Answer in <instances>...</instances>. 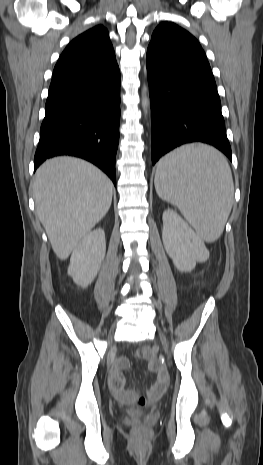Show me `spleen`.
I'll return each instance as SVG.
<instances>
[{"instance_id":"3e777b00","label":"spleen","mask_w":263,"mask_h":465,"mask_svg":"<svg viewBox=\"0 0 263 465\" xmlns=\"http://www.w3.org/2000/svg\"><path fill=\"white\" fill-rule=\"evenodd\" d=\"M158 196L175 205L206 242L217 240L230 214L234 186L226 158L206 145H186L157 164Z\"/></svg>"}]
</instances>
